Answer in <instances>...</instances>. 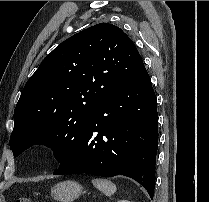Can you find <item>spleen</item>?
<instances>
[{
    "label": "spleen",
    "mask_w": 209,
    "mask_h": 202,
    "mask_svg": "<svg viewBox=\"0 0 209 202\" xmlns=\"http://www.w3.org/2000/svg\"><path fill=\"white\" fill-rule=\"evenodd\" d=\"M92 184L103 192L106 196H111L116 192V186L107 179H93Z\"/></svg>",
    "instance_id": "spleen-1"
}]
</instances>
